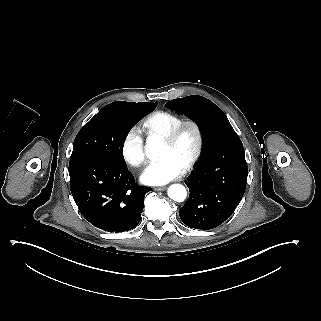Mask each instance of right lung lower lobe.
Segmentation results:
<instances>
[{"instance_id": "right-lung-lower-lobe-1", "label": "right lung lower lobe", "mask_w": 321, "mask_h": 321, "mask_svg": "<svg viewBox=\"0 0 321 321\" xmlns=\"http://www.w3.org/2000/svg\"><path fill=\"white\" fill-rule=\"evenodd\" d=\"M70 190L82 215L95 227L124 232L140 222L145 194L126 164L96 156H77L69 162Z\"/></svg>"}]
</instances>
